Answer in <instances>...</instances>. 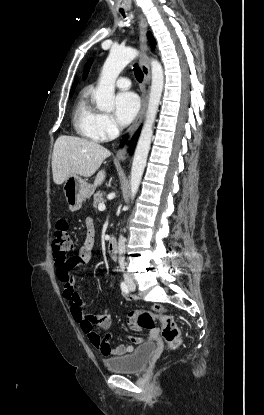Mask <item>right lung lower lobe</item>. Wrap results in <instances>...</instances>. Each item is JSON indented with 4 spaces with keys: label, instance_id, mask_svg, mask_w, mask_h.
Listing matches in <instances>:
<instances>
[{
    "label": "right lung lower lobe",
    "instance_id": "right-lung-lower-lobe-1",
    "mask_svg": "<svg viewBox=\"0 0 264 415\" xmlns=\"http://www.w3.org/2000/svg\"><path fill=\"white\" fill-rule=\"evenodd\" d=\"M137 137H138V133L134 136V138L132 140V145H131V148H130L131 151L134 148L135 142L137 141ZM125 142H126V139H123L122 142H121V145H123V143H125Z\"/></svg>",
    "mask_w": 264,
    "mask_h": 415
}]
</instances>
